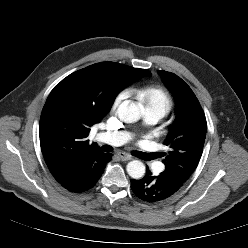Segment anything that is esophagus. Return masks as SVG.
Wrapping results in <instances>:
<instances>
[{
    "label": "esophagus",
    "instance_id": "34e87169",
    "mask_svg": "<svg viewBox=\"0 0 248 248\" xmlns=\"http://www.w3.org/2000/svg\"><path fill=\"white\" fill-rule=\"evenodd\" d=\"M117 155L123 161L132 160V156H130L129 154H127L125 152H119Z\"/></svg>",
    "mask_w": 248,
    "mask_h": 248
}]
</instances>
